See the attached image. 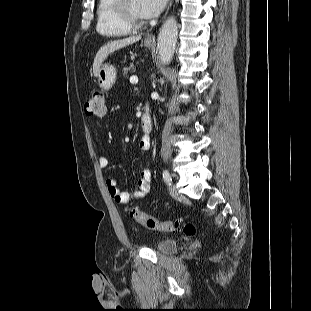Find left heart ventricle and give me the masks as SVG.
<instances>
[{
	"instance_id": "1",
	"label": "left heart ventricle",
	"mask_w": 311,
	"mask_h": 311,
	"mask_svg": "<svg viewBox=\"0 0 311 311\" xmlns=\"http://www.w3.org/2000/svg\"><path fill=\"white\" fill-rule=\"evenodd\" d=\"M139 3H140L139 0H129L128 6H129V9L132 15L135 18L143 20L144 18L140 15V11H139Z\"/></svg>"
}]
</instances>
